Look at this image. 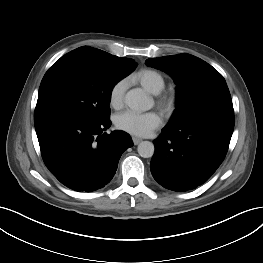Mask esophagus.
<instances>
[{
    "instance_id": "esophagus-1",
    "label": "esophagus",
    "mask_w": 263,
    "mask_h": 263,
    "mask_svg": "<svg viewBox=\"0 0 263 263\" xmlns=\"http://www.w3.org/2000/svg\"><path fill=\"white\" fill-rule=\"evenodd\" d=\"M132 140L135 145H138L142 141V139L138 137H132Z\"/></svg>"
}]
</instances>
